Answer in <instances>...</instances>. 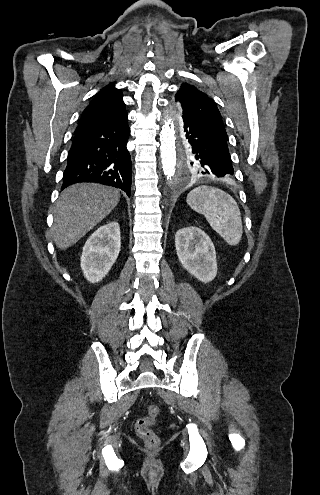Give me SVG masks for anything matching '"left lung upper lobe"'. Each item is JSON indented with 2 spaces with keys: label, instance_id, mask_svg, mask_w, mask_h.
I'll return each instance as SVG.
<instances>
[{
  "label": "left lung upper lobe",
  "instance_id": "obj_1",
  "mask_svg": "<svg viewBox=\"0 0 320 495\" xmlns=\"http://www.w3.org/2000/svg\"><path fill=\"white\" fill-rule=\"evenodd\" d=\"M178 102L179 112L182 116H190L205 125L211 132L227 141V133L222 121L221 114L215 103L202 91L187 83H183L175 95ZM180 120V117H179ZM199 152L190 146L184 139L177 143V160L181 161L183 169L189 177H200L204 174L199 160Z\"/></svg>",
  "mask_w": 320,
  "mask_h": 495
}]
</instances>
